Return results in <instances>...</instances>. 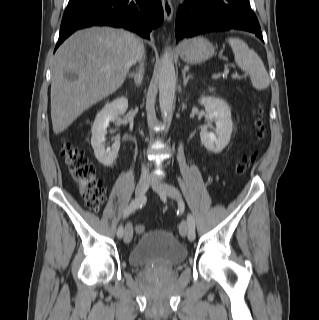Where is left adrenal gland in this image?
<instances>
[{
  "label": "left adrenal gland",
  "instance_id": "left-adrenal-gland-1",
  "mask_svg": "<svg viewBox=\"0 0 319 320\" xmlns=\"http://www.w3.org/2000/svg\"><path fill=\"white\" fill-rule=\"evenodd\" d=\"M182 74H183V85L186 86L188 83V80L192 78V75L191 74L186 75L185 70H182Z\"/></svg>",
  "mask_w": 319,
  "mask_h": 320
}]
</instances>
